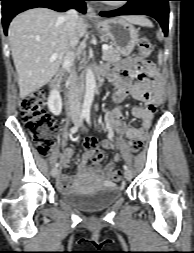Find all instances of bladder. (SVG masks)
Listing matches in <instances>:
<instances>
[{"mask_svg": "<svg viewBox=\"0 0 194 253\" xmlns=\"http://www.w3.org/2000/svg\"><path fill=\"white\" fill-rule=\"evenodd\" d=\"M122 196L121 189L113 184H106L91 190H72L61 198L67 204L87 212H95L110 207Z\"/></svg>", "mask_w": 194, "mask_h": 253, "instance_id": "1", "label": "bladder"}]
</instances>
